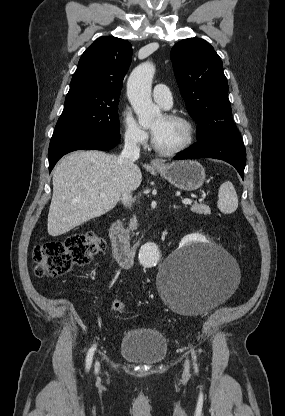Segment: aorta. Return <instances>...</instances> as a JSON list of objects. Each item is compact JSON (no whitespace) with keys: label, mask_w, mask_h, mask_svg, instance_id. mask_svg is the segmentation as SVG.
I'll use <instances>...</instances> for the list:
<instances>
[{"label":"aorta","mask_w":285,"mask_h":416,"mask_svg":"<svg viewBox=\"0 0 285 416\" xmlns=\"http://www.w3.org/2000/svg\"><path fill=\"white\" fill-rule=\"evenodd\" d=\"M155 67L151 62L137 66L127 82L128 99L138 116L141 125L151 124L160 116L159 108L151 98L152 80ZM159 260V250L155 243L147 242L141 246L139 261L145 267L154 266Z\"/></svg>","instance_id":"aorta-1"}]
</instances>
